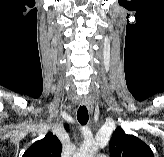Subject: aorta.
Instances as JSON below:
<instances>
[{
	"label": "aorta",
	"instance_id": "aorta-1",
	"mask_svg": "<svg viewBox=\"0 0 164 157\" xmlns=\"http://www.w3.org/2000/svg\"><path fill=\"white\" fill-rule=\"evenodd\" d=\"M98 150L96 142H87L80 146L74 157H94Z\"/></svg>",
	"mask_w": 164,
	"mask_h": 157
}]
</instances>
